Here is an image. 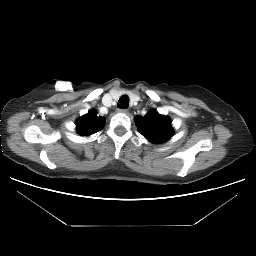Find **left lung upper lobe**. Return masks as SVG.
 <instances>
[{
  "label": "left lung upper lobe",
  "mask_w": 256,
  "mask_h": 256,
  "mask_svg": "<svg viewBox=\"0 0 256 256\" xmlns=\"http://www.w3.org/2000/svg\"><path fill=\"white\" fill-rule=\"evenodd\" d=\"M135 124L145 138L156 144L167 141L173 134L170 119L155 110H150L144 117L137 116Z\"/></svg>",
  "instance_id": "left-lung-upper-lobe-1"
}]
</instances>
